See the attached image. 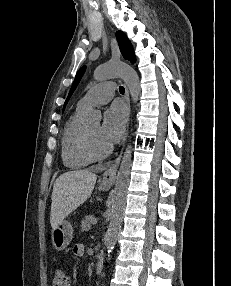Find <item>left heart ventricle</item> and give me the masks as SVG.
<instances>
[{"label": "left heart ventricle", "instance_id": "b2bd125f", "mask_svg": "<svg viewBox=\"0 0 231 286\" xmlns=\"http://www.w3.org/2000/svg\"><path fill=\"white\" fill-rule=\"evenodd\" d=\"M93 148L97 152H102L107 148V145L101 140L99 136V124H92L86 126Z\"/></svg>", "mask_w": 231, "mask_h": 286}]
</instances>
